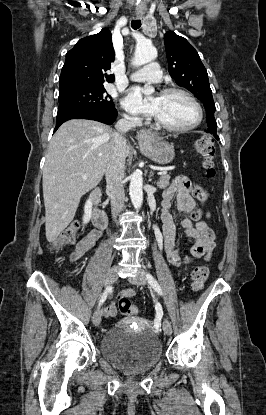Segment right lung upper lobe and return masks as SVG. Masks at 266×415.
Returning a JSON list of instances; mask_svg holds the SVG:
<instances>
[{
  "label": "right lung upper lobe",
  "instance_id": "right-lung-upper-lobe-1",
  "mask_svg": "<svg viewBox=\"0 0 266 415\" xmlns=\"http://www.w3.org/2000/svg\"><path fill=\"white\" fill-rule=\"evenodd\" d=\"M114 57L112 34L108 29L82 38L66 54L59 78L60 92L112 82L114 75L106 71Z\"/></svg>",
  "mask_w": 266,
  "mask_h": 415
}]
</instances>
